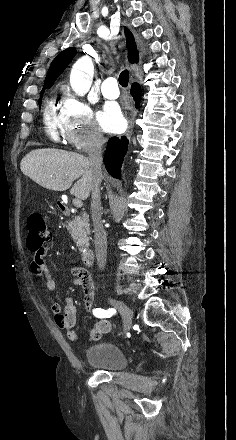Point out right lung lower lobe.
<instances>
[{
	"label": "right lung lower lobe",
	"instance_id": "right-lung-lower-lobe-1",
	"mask_svg": "<svg viewBox=\"0 0 236 440\" xmlns=\"http://www.w3.org/2000/svg\"><path fill=\"white\" fill-rule=\"evenodd\" d=\"M131 95L135 101V106L139 107L141 99V88L139 84H132ZM127 149L128 140L124 136H122L121 139L112 137L107 143L106 153L104 155V163L106 170L114 178H121L120 168Z\"/></svg>",
	"mask_w": 236,
	"mask_h": 440
}]
</instances>
